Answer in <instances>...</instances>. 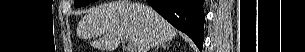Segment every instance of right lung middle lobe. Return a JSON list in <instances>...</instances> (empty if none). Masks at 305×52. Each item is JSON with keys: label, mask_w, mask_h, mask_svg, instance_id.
Returning <instances> with one entry per match:
<instances>
[{"label": "right lung middle lobe", "mask_w": 305, "mask_h": 52, "mask_svg": "<svg viewBox=\"0 0 305 52\" xmlns=\"http://www.w3.org/2000/svg\"><path fill=\"white\" fill-rule=\"evenodd\" d=\"M96 0H75L74 2V6L75 7H82V6H85L91 2H94Z\"/></svg>", "instance_id": "dd1d6c3e"}]
</instances>
